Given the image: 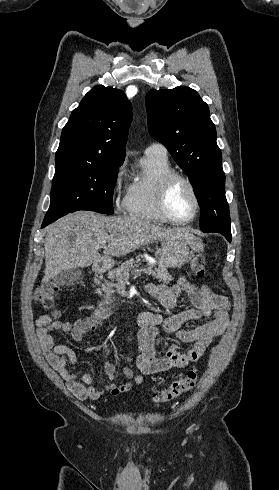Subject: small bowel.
Masks as SVG:
<instances>
[{
    "mask_svg": "<svg viewBox=\"0 0 279 490\" xmlns=\"http://www.w3.org/2000/svg\"><path fill=\"white\" fill-rule=\"evenodd\" d=\"M147 290L166 309L176 308L179 296L186 293L193 308L170 317L150 311L138 314L137 324L140 331L136 339L140 346V355L137 358V366L142 374L184 368L200 359L211 342L221 336L229 324V300L213 293L208 287H198L188 279L181 278L174 285H151ZM207 317H212V320L191 329H180L188 321H200ZM100 324L101 318L93 315L75 322L56 321L50 315H42L36 320V339L40 349L50 365L65 380L68 389L79 399L96 400L106 393L119 395L131 389L130 383H114L116 369L109 361L104 363V372L109 382L101 388L93 385L90 374L71 372L68 363H77L74 350L65 344H56L52 336L53 331L59 330L68 334L75 342H82L86 335L95 331ZM159 329L176 332L179 340L191 344V348L186 352H180L175 346H171L166 357H157L155 340ZM122 373L129 379L134 377L133 371L128 367H124ZM142 380V376L134 378L136 383H141Z\"/></svg>",
    "mask_w": 279,
    "mask_h": 490,
    "instance_id": "1",
    "label": "small bowel"
}]
</instances>
